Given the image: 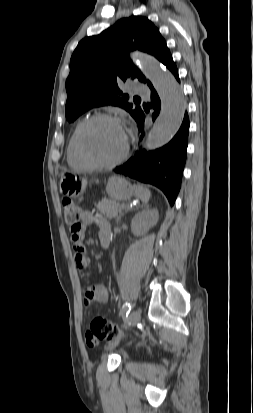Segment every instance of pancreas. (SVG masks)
Instances as JSON below:
<instances>
[{
  "label": "pancreas",
  "instance_id": "obj_1",
  "mask_svg": "<svg viewBox=\"0 0 253 413\" xmlns=\"http://www.w3.org/2000/svg\"><path fill=\"white\" fill-rule=\"evenodd\" d=\"M96 207L100 212H102L107 218L113 219L118 216V213L124 208L123 204H114L111 205V201L109 199H103Z\"/></svg>",
  "mask_w": 253,
  "mask_h": 413
}]
</instances>
